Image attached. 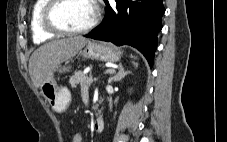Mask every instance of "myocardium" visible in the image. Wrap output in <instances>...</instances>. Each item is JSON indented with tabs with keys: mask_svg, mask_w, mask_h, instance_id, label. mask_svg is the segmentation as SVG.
Listing matches in <instances>:
<instances>
[{
	"mask_svg": "<svg viewBox=\"0 0 227 142\" xmlns=\"http://www.w3.org/2000/svg\"><path fill=\"white\" fill-rule=\"evenodd\" d=\"M67 0H49L42 12V23L44 28L57 35H77L88 32L93 29L99 21V11L96 6H94V17L92 21L84 27L77 29H67L62 27L56 20V13L58 9Z\"/></svg>",
	"mask_w": 227,
	"mask_h": 142,
	"instance_id": "myocardium-1",
	"label": "myocardium"
}]
</instances>
